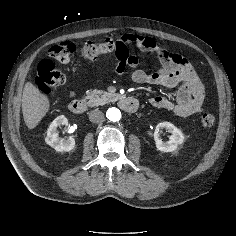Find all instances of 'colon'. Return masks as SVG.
<instances>
[{
    "label": "colon",
    "instance_id": "5ec220e1",
    "mask_svg": "<svg viewBox=\"0 0 236 236\" xmlns=\"http://www.w3.org/2000/svg\"><path fill=\"white\" fill-rule=\"evenodd\" d=\"M75 43L73 41H63L52 46L48 55L50 58L59 62H66L70 55L75 51ZM115 53L120 55L124 53L123 47L112 39L104 42H86L81 49V56L84 60L92 61L100 56ZM64 74L56 69L54 63L50 59L42 60L38 65L36 84L43 93H50L54 88L64 84ZM201 123L206 128H211L216 122V116L213 113L205 112L201 115Z\"/></svg>",
    "mask_w": 236,
    "mask_h": 236
}]
</instances>
